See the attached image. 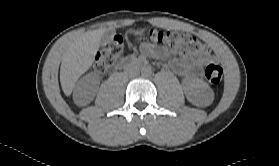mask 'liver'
I'll list each match as a JSON object with an SVG mask.
<instances>
[{"label":"liver","mask_w":279,"mask_h":166,"mask_svg":"<svg viewBox=\"0 0 279 166\" xmlns=\"http://www.w3.org/2000/svg\"><path fill=\"white\" fill-rule=\"evenodd\" d=\"M109 29L87 31L67 47L60 67V83L65 95H70L77 80L93 64L102 35Z\"/></svg>","instance_id":"1"}]
</instances>
